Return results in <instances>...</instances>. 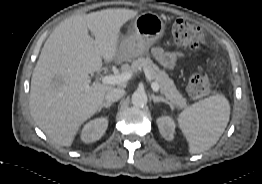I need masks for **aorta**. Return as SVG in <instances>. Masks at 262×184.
<instances>
[{"label": "aorta", "mask_w": 262, "mask_h": 184, "mask_svg": "<svg viewBox=\"0 0 262 184\" xmlns=\"http://www.w3.org/2000/svg\"><path fill=\"white\" fill-rule=\"evenodd\" d=\"M148 98L144 91H135L132 94L131 102L135 107H143L147 104Z\"/></svg>", "instance_id": "aorta-1"}]
</instances>
